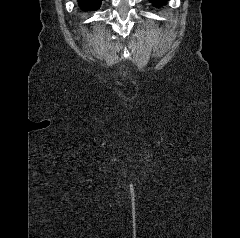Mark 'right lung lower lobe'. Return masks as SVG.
<instances>
[{
	"instance_id": "98d812e1",
	"label": "right lung lower lobe",
	"mask_w": 240,
	"mask_h": 238,
	"mask_svg": "<svg viewBox=\"0 0 240 238\" xmlns=\"http://www.w3.org/2000/svg\"><path fill=\"white\" fill-rule=\"evenodd\" d=\"M78 2L83 10H97L102 0H78Z\"/></svg>"
}]
</instances>
